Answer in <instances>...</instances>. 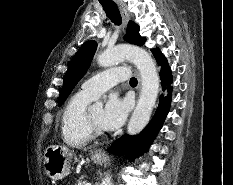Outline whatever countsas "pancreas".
Here are the masks:
<instances>
[{
    "mask_svg": "<svg viewBox=\"0 0 233 185\" xmlns=\"http://www.w3.org/2000/svg\"><path fill=\"white\" fill-rule=\"evenodd\" d=\"M75 185H85V182L78 180L77 183Z\"/></svg>",
    "mask_w": 233,
    "mask_h": 185,
    "instance_id": "pancreas-1",
    "label": "pancreas"
}]
</instances>
